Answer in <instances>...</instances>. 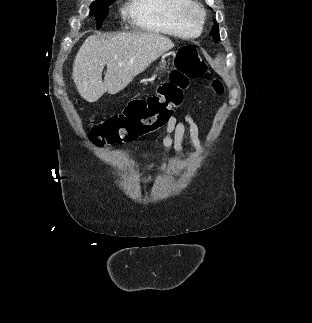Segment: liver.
Returning a JSON list of instances; mask_svg holds the SVG:
<instances>
[{
	"label": "liver",
	"instance_id": "liver-1",
	"mask_svg": "<svg viewBox=\"0 0 312 323\" xmlns=\"http://www.w3.org/2000/svg\"><path fill=\"white\" fill-rule=\"evenodd\" d=\"M172 48L170 38L153 32L89 36L73 64L72 78L77 92L86 102H97L105 92L117 94ZM104 66L107 72L103 82Z\"/></svg>",
	"mask_w": 312,
	"mask_h": 323
}]
</instances>
